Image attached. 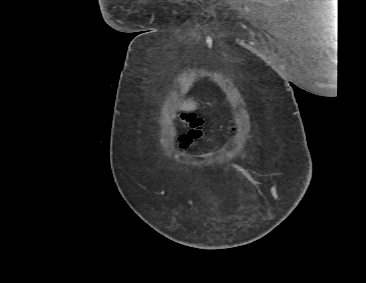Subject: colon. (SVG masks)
Segmentation results:
<instances>
[{
  "instance_id": "colon-1",
  "label": "colon",
  "mask_w": 366,
  "mask_h": 283,
  "mask_svg": "<svg viewBox=\"0 0 366 283\" xmlns=\"http://www.w3.org/2000/svg\"><path fill=\"white\" fill-rule=\"evenodd\" d=\"M178 120L187 128V132L179 138V147L184 150L203 137V120L193 114H182L178 117Z\"/></svg>"
}]
</instances>
